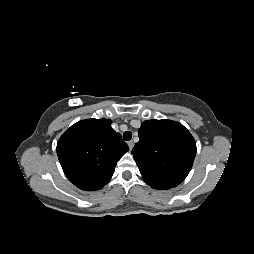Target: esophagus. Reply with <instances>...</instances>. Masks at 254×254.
I'll return each mask as SVG.
<instances>
[{
	"label": "esophagus",
	"mask_w": 254,
	"mask_h": 254,
	"mask_svg": "<svg viewBox=\"0 0 254 254\" xmlns=\"http://www.w3.org/2000/svg\"><path fill=\"white\" fill-rule=\"evenodd\" d=\"M128 146H129V149L132 150V148L134 146V142L133 141H129L128 142Z\"/></svg>",
	"instance_id": "esophagus-1"
}]
</instances>
